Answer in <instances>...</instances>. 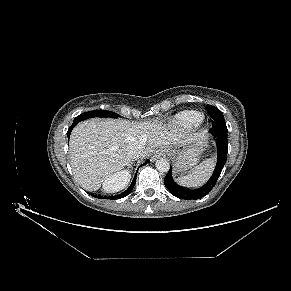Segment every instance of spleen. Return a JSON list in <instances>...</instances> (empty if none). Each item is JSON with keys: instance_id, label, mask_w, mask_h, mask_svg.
Segmentation results:
<instances>
[{"instance_id": "1", "label": "spleen", "mask_w": 291, "mask_h": 291, "mask_svg": "<svg viewBox=\"0 0 291 291\" xmlns=\"http://www.w3.org/2000/svg\"><path fill=\"white\" fill-rule=\"evenodd\" d=\"M215 166V158H209L195 167V169L186 176L177 178L180 186L194 188L203 185L211 176Z\"/></svg>"}]
</instances>
